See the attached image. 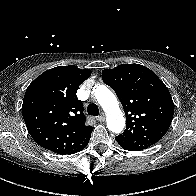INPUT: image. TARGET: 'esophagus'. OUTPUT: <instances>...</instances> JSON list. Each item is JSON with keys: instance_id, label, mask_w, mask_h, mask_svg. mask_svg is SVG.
Returning <instances> with one entry per match:
<instances>
[{"instance_id": "34e87169", "label": "esophagus", "mask_w": 196, "mask_h": 196, "mask_svg": "<svg viewBox=\"0 0 196 196\" xmlns=\"http://www.w3.org/2000/svg\"><path fill=\"white\" fill-rule=\"evenodd\" d=\"M96 119H97V121H99V122H104V121H105V116H104V115H100V116H98Z\"/></svg>"}]
</instances>
